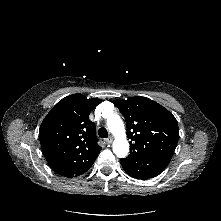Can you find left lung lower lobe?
Returning a JSON list of instances; mask_svg holds the SVG:
<instances>
[{
	"label": "left lung lower lobe",
	"instance_id": "1",
	"mask_svg": "<svg viewBox=\"0 0 221 221\" xmlns=\"http://www.w3.org/2000/svg\"><path fill=\"white\" fill-rule=\"evenodd\" d=\"M123 169L137 179H149L158 176L168 164L159 162H138L128 158L120 159Z\"/></svg>",
	"mask_w": 221,
	"mask_h": 221
}]
</instances>
